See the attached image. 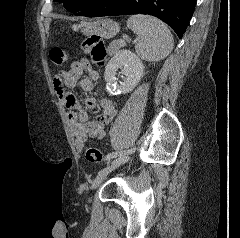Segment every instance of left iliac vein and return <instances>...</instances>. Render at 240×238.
Masks as SVG:
<instances>
[{
	"label": "left iliac vein",
	"mask_w": 240,
	"mask_h": 238,
	"mask_svg": "<svg viewBox=\"0 0 240 238\" xmlns=\"http://www.w3.org/2000/svg\"><path fill=\"white\" fill-rule=\"evenodd\" d=\"M135 148L131 149L127 154L122 155L121 157L117 158L113 161V163L110 166H107L106 168L102 169L97 177L95 178L92 188H97L100 183L103 181V179L115 168L119 167L120 165L126 163L130 159V154L134 152Z\"/></svg>",
	"instance_id": "left-iliac-vein-1"
}]
</instances>
